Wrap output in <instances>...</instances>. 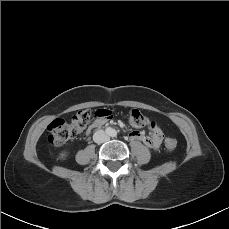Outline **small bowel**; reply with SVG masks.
I'll return each instance as SVG.
<instances>
[{"mask_svg":"<svg viewBox=\"0 0 229 229\" xmlns=\"http://www.w3.org/2000/svg\"><path fill=\"white\" fill-rule=\"evenodd\" d=\"M106 119L103 117H100L98 119H96L91 127L95 128V124H97L98 122H105ZM150 131H151V135L147 136L144 133L140 132V131H133L129 134L130 138L134 139V140H138L141 141L143 144H145L146 146L152 148V149H158L161 146L162 143V137H161V129L159 128V126L153 122H151V125L149 126Z\"/></svg>","mask_w":229,"mask_h":229,"instance_id":"1","label":"small bowel"}]
</instances>
